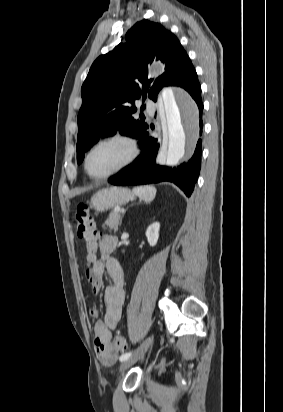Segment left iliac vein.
I'll return each mask as SVG.
<instances>
[{
  "label": "left iliac vein",
  "instance_id": "1",
  "mask_svg": "<svg viewBox=\"0 0 283 412\" xmlns=\"http://www.w3.org/2000/svg\"><path fill=\"white\" fill-rule=\"evenodd\" d=\"M152 336L148 337L145 342L142 344V346L126 361H124L121 365V370H125L134 363H136L140 358H142L145 353L148 351L151 343H152Z\"/></svg>",
  "mask_w": 283,
  "mask_h": 412
}]
</instances>
